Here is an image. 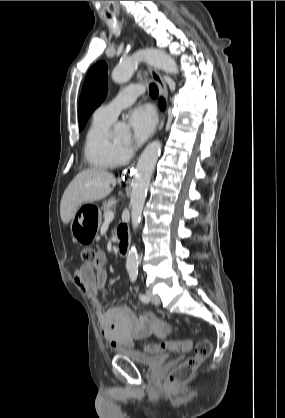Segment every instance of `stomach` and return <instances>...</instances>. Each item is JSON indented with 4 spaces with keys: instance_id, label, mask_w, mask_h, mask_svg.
<instances>
[{
    "instance_id": "stomach-1",
    "label": "stomach",
    "mask_w": 285,
    "mask_h": 418,
    "mask_svg": "<svg viewBox=\"0 0 285 418\" xmlns=\"http://www.w3.org/2000/svg\"><path fill=\"white\" fill-rule=\"evenodd\" d=\"M92 206L87 211L85 207ZM102 222L100 209L92 204L82 205L72 218L70 228L74 239L82 244L92 242Z\"/></svg>"
}]
</instances>
